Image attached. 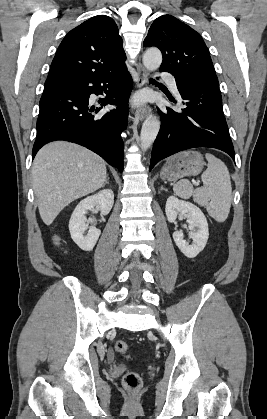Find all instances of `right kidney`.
Instances as JSON below:
<instances>
[{
    "instance_id": "1",
    "label": "right kidney",
    "mask_w": 267,
    "mask_h": 419,
    "mask_svg": "<svg viewBox=\"0 0 267 419\" xmlns=\"http://www.w3.org/2000/svg\"><path fill=\"white\" fill-rule=\"evenodd\" d=\"M114 203V193L110 189L83 199L74 209L69 221V231L73 241L84 251L93 250L101 231L96 227H90L88 233L86 226V212L95 206L100 210L101 215H107Z\"/></svg>"
}]
</instances>
